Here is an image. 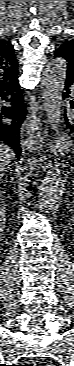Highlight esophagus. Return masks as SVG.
Segmentation results:
<instances>
[{
	"label": "esophagus",
	"mask_w": 74,
	"mask_h": 366,
	"mask_svg": "<svg viewBox=\"0 0 74 366\" xmlns=\"http://www.w3.org/2000/svg\"><path fill=\"white\" fill-rule=\"evenodd\" d=\"M38 107H33V106H30L29 107V112H30V119L31 121L35 120L36 117H35V112L37 111Z\"/></svg>",
	"instance_id": "1"
}]
</instances>
